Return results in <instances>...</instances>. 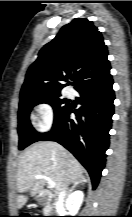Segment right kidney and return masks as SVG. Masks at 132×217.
Listing matches in <instances>:
<instances>
[{
    "instance_id": "right-kidney-1",
    "label": "right kidney",
    "mask_w": 132,
    "mask_h": 217,
    "mask_svg": "<svg viewBox=\"0 0 132 217\" xmlns=\"http://www.w3.org/2000/svg\"><path fill=\"white\" fill-rule=\"evenodd\" d=\"M84 194L82 191L77 190L70 194L65 202V206L69 211L70 216H75L83 202Z\"/></svg>"
}]
</instances>
